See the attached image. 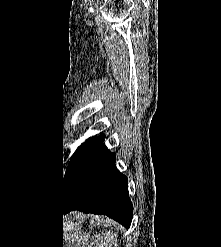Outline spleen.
<instances>
[{
	"label": "spleen",
	"instance_id": "spleen-1",
	"mask_svg": "<svg viewBox=\"0 0 221 247\" xmlns=\"http://www.w3.org/2000/svg\"><path fill=\"white\" fill-rule=\"evenodd\" d=\"M117 247V234L111 231L103 235H96V240L92 241L89 247Z\"/></svg>",
	"mask_w": 221,
	"mask_h": 247
}]
</instances>
